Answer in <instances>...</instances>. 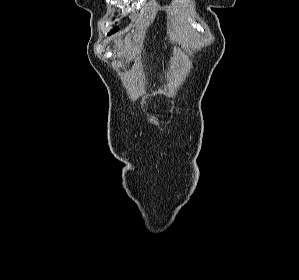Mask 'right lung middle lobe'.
Here are the masks:
<instances>
[{
	"mask_svg": "<svg viewBox=\"0 0 299 280\" xmlns=\"http://www.w3.org/2000/svg\"><path fill=\"white\" fill-rule=\"evenodd\" d=\"M118 30H119V28L114 27L113 30H112L110 33L112 34V33L116 32V31H118Z\"/></svg>",
	"mask_w": 299,
	"mask_h": 280,
	"instance_id": "1",
	"label": "right lung middle lobe"
}]
</instances>
